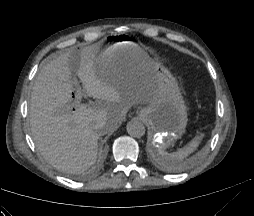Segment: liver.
Here are the masks:
<instances>
[{
  "label": "liver",
  "instance_id": "6515ba94",
  "mask_svg": "<svg viewBox=\"0 0 254 216\" xmlns=\"http://www.w3.org/2000/svg\"><path fill=\"white\" fill-rule=\"evenodd\" d=\"M101 43L76 54L64 53L39 72L30 100V127L42 156L56 169L84 171L97 157L98 139L112 132L133 105L148 104L155 78L148 70L102 72L97 55ZM109 59L101 60L106 66ZM72 64L87 96L96 102L69 109L74 91ZM102 123L96 129L97 123Z\"/></svg>",
  "mask_w": 254,
  "mask_h": 216
}]
</instances>
